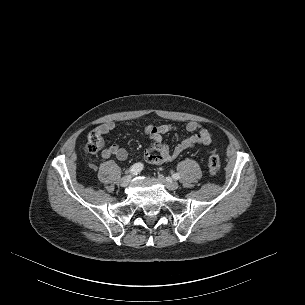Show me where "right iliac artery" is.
Returning <instances> with one entry per match:
<instances>
[{"mask_svg":"<svg viewBox=\"0 0 305 305\" xmlns=\"http://www.w3.org/2000/svg\"><path fill=\"white\" fill-rule=\"evenodd\" d=\"M142 169H143L142 163H135L133 166H131L129 172L133 175H137Z\"/></svg>","mask_w":305,"mask_h":305,"instance_id":"1","label":"right iliac artery"}]
</instances>
